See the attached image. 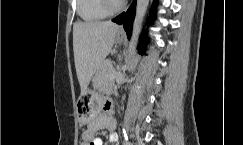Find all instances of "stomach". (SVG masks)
<instances>
[{"label":"stomach","mask_w":243,"mask_h":145,"mask_svg":"<svg viewBox=\"0 0 243 145\" xmlns=\"http://www.w3.org/2000/svg\"><path fill=\"white\" fill-rule=\"evenodd\" d=\"M116 40L118 43L123 41V36L117 35ZM102 103L101 94H94L90 91L82 93L81 97H78V114L79 120L83 123H88L96 117L99 113Z\"/></svg>","instance_id":"1"}]
</instances>
